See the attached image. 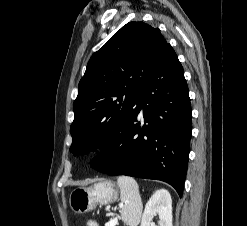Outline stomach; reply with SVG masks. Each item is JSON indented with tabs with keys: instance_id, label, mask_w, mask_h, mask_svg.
I'll list each match as a JSON object with an SVG mask.
<instances>
[{
	"instance_id": "stomach-1",
	"label": "stomach",
	"mask_w": 247,
	"mask_h": 226,
	"mask_svg": "<svg viewBox=\"0 0 247 226\" xmlns=\"http://www.w3.org/2000/svg\"><path fill=\"white\" fill-rule=\"evenodd\" d=\"M119 194L116 184L102 180L90 187L75 188L69 196L71 209L77 214L87 213L97 205L110 204L117 200Z\"/></svg>"
}]
</instances>
